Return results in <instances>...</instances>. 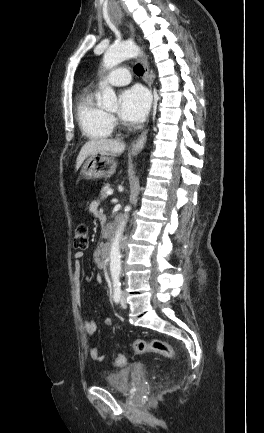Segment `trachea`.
Masks as SVG:
<instances>
[{
	"instance_id": "3493384b",
	"label": "trachea",
	"mask_w": 264,
	"mask_h": 433,
	"mask_svg": "<svg viewBox=\"0 0 264 433\" xmlns=\"http://www.w3.org/2000/svg\"><path fill=\"white\" fill-rule=\"evenodd\" d=\"M134 71H135V73H136L137 75H139V76H142V74H143V69H142V67H141L139 64H137V65L134 67Z\"/></svg>"
}]
</instances>
